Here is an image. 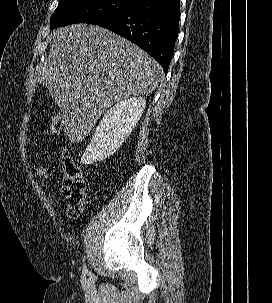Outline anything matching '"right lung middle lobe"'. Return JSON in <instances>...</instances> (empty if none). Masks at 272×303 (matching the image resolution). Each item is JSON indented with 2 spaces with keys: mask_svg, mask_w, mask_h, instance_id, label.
<instances>
[{
  "mask_svg": "<svg viewBox=\"0 0 272 303\" xmlns=\"http://www.w3.org/2000/svg\"><path fill=\"white\" fill-rule=\"evenodd\" d=\"M135 0H60L50 26L54 29L74 23H92L131 9Z\"/></svg>",
  "mask_w": 272,
  "mask_h": 303,
  "instance_id": "dd1d6c3e",
  "label": "right lung middle lobe"
}]
</instances>
